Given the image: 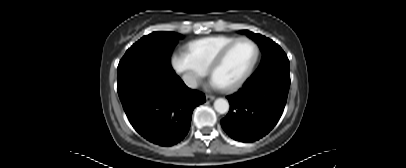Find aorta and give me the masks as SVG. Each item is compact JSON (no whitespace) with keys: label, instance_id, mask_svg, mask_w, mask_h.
Instances as JSON below:
<instances>
[{"label":"aorta","instance_id":"obj_1","mask_svg":"<svg viewBox=\"0 0 406 168\" xmlns=\"http://www.w3.org/2000/svg\"><path fill=\"white\" fill-rule=\"evenodd\" d=\"M214 109L218 113L224 114V113L228 112V110H229V103L226 99L218 98L214 102Z\"/></svg>","mask_w":406,"mask_h":168}]
</instances>
